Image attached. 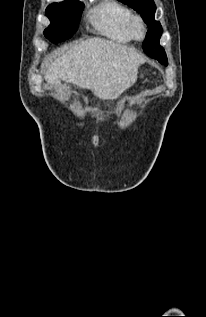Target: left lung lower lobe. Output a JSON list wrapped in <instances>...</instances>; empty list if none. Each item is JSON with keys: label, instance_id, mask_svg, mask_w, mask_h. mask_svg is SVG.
Segmentation results:
<instances>
[{"label": "left lung lower lobe", "instance_id": "0a47b994", "mask_svg": "<svg viewBox=\"0 0 206 317\" xmlns=\"http://www.w3.org/2000/svg\"><path fill=\"white\" fill-rule=\"evenodd\" d=\"M154 48L160 49V48H162V47L160 46L159 43H157V44H152V45H151V48L146 47V49L148 50V53H149L148 56H150L151 58L156 59V58H158V54L155 52Z\"/></svg>", "mask_w": 206, "mask_h": 317}]
</instances>
